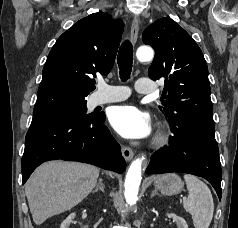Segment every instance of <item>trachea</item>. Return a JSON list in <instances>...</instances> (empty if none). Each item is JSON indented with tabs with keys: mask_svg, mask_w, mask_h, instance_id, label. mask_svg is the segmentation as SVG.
<instances>
[{
	"mask_svg": "<svg viewBox=\"0 0 238 228\" xmlns=\"http://www.w3.org/2000/svg\"><path fill=\"white\" fill-rule=\"evenodd\" d=\"M117 63L120 70L119 73L121 80H128L130 78L133 64V47L128 40L124 41L119 49Z\"/></svg>",
	"mask_w": 238,
	"mask_h": 228,
	"instance_id": "trachea-1",
	"label": "trachea"
}]
</instances>
